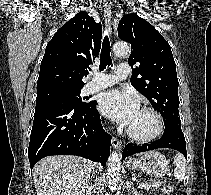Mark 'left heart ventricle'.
<instances>
[{"instance_id": "1", "label": "left heart ventricle", "mask_w": 211, "mask_h": 195, "mask_svg": "<svg viewBox=\"0 0 211 195\" xmlns=\"http://www.w3.org/2000/svg\"><path fill=\"white\" fill-rule=\"evenodd\" d=\"M128 128L136 135L148 136L157 129V120L151 113L139 110Z\"/></svg>"}]
</instances>
